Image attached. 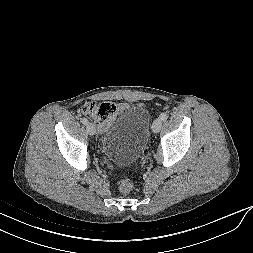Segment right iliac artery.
I'll use <instances>...</instances> for the list:
<instances>
[{"mask_svg":"<svg viewBox=\"0 0 253 253\" xmlns=\"http://www.w3.org/2000/svg\"><path fill=\"white\" fill-rule=\"evenodd\" d=\"M81 122L84 124V125H87L88 124V120L86 118H82L81 119Z\"/></svg>","mask_w":253,"mask_h":253,"instance_id":"right-iliac-artery-1","label":"right iliac artery"}]
</instances>
